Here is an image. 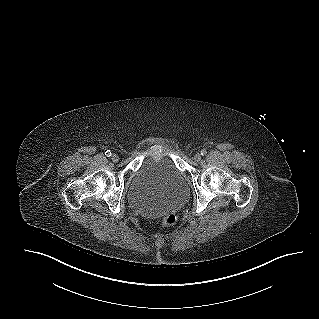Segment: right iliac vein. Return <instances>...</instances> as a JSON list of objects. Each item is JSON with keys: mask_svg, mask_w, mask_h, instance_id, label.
<instances>
[{"mask_svg": "<svg viewBox=\"0 0 319 319\" xmlns=\"http://www.w3.org/2000/svg\"><path fill=\"white\" fill-rule=\"evenodd\" d=\"M111 159H112L113 162H118L119 161V156L117 154H113L111 156Z\"/></svg>", "mask_w": 319, "mask_h": 319, "instance_id": "63e3f726", "label": "right iliac vein"}]
</instances>
